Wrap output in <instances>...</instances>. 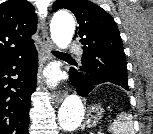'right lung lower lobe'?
Listing matches in <instances>:
<instances>
[{"label":"right lung lower lobe","instance_id":"right-lung-lower-lobe-1","mask_svg":"<svg viewBox=\"0 0 153 134\" xmlns=\"http://www.w3.org/2000/svg\"><path fill=\"white\" fill-rule=\"evenodd\" d=\"M37 70L35 48L0 63V134H28L30 97L36 88Z\"/></svg>","mask_w":153,"mask_h":134}]
</instances>
